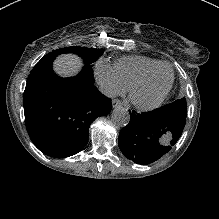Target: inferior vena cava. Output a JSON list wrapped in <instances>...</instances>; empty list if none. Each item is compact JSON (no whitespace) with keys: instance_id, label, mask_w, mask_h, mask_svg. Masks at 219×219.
I'll list each match as a JSON object with an SVG mask.
<instances>
[{"instance_id":"obj_1","label":"inferior vena cava","mask_w":219,"mask_h":219,"mask_svg":"<svg viewBox=\"0 0 219 219\" xmlns=\"http://www.w3.org/2000/svg\"><path fill=\"white\" fill-rule=\"evenodd\" d=\"M98 90L108 98H114L117 96V93L107 84H99Z\"/></svg>"}]
</instances>
